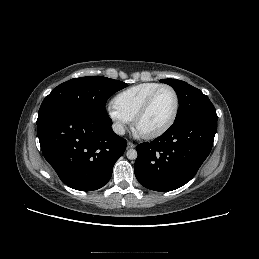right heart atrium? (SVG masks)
<instances>
[{
	"mask_svg": "<svg viewBox=\"0 0 259 259\" xmlns=\"http://www.w3.org/2000/svg\"><path fill=\"white\" fill-rule=\"evenodd\" d=\"M107 114L110 120L113 122L116 131L119 133H123L130 121L114 106L108 107Z\"/></svg>",
	"mask_w": 259,
	"mask_h": 259,
	"instance_id": "right-heart-atrium-1",
	"label": "right heart atrium"
}]
</instances>
